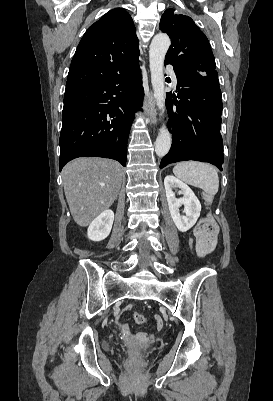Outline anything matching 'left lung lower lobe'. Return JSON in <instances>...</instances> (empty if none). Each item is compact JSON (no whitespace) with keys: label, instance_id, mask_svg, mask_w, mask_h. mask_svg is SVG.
<instances>
[{"label":"left lung lower lobe","instance_id":"1","mask_svg":"<svg viewBox=\"0 0 273 401\" xmlns=\"http://www.w3.org/2000/svg\"><path fill=\"white\" fill-rule=\"evenodd\" d=\"M165 64L174 66L178 95L167 93L172 146L161 160L160 168L178 161L197 160L222 170V100L217 71L193 73L166 59Z\"/></svg>","mask_w":273,"mask_h":401}]
</instances>
